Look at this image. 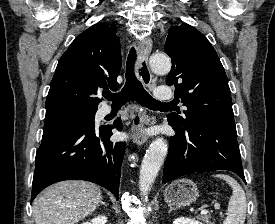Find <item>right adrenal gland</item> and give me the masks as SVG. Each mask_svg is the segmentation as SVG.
<instances>
[{
    "instance_id": "right-adrenal-gland-1",
    "label": "right adrenal gland",
    "mask_w": 275,
    "mask_h": 224,
    "mask_svg": "<svg viewBox=\"0 0 275 224\" xmlns=\"http://www.w3.org/2000/svg\"><path fill=\"white\" fill-rule=\"evenodd\" d=\"M100 205H105V206H107L108 204L106 203V202H100Z\"/></svg>"
}]
</instances>
